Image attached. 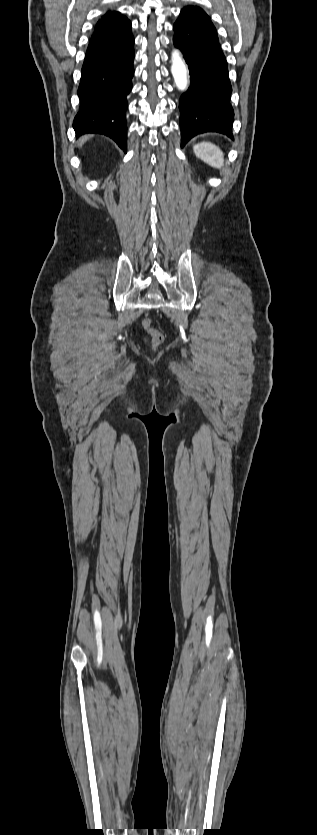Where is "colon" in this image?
Returning a JSON list of instances; mask_svg holds the SVG:
<instances>
[{"instance_id": "obj_1", "label": "colon", "mask_w": 317, "mask_h": 835, "mask_svg": "<svg viewBox=\"0 0 317 835\" xmlns=\"http://www.w3.org/2000/svg\"><path fill=\"white\" fill-rule=\"evenodd\" d=\"M143 328L147 331L150 335L151 341L154 345H159L163 342L164 336L163 334L154 328L152 320L150 318H146L142 322Z\"/></svg>"}]
</instances>
